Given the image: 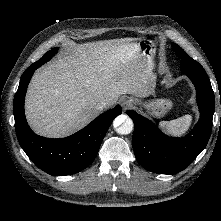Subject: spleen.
Returning a JSON list of instances; mask_svg holds the SVG:
<instances>
[{
    "instance_id": "1",
    "label": "spleen",
    "mask_w": 221,
    "mask_h": 221,
    "mask_svg": "<svg viewBox=\"0 0 221 221\" xmlns=\"http://www.w3.org/2000/svg\"><path fill=\"white\" fill-rule=\"evenodd\" d=\"M191 122L192 116L185 115L171 121H162L159 123V125L173 135H181L188 130Z\"/></svg>"
}]
</instances>
